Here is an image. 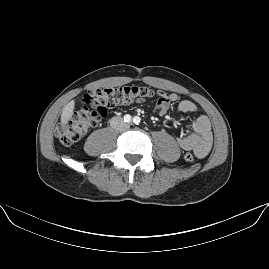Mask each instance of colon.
I'll list each match as a JSON object with an SVG mask.
<instances>
[{"label": "colon", "mask_w": 269, "mask_h": 269, "mask_svg": "<svg viewBox=\"0 0 269 269\" xmlns=\"http://www.w3.org/2000/svg\"><path fill=\"white\" fill-rule=\"evenodd\" d=\"M155 91L147 86L121 85L113 88H86L84 108L61 121L55 135L61 144L70 146L78 142L88 131L99 125L108 109L131 103L134 99L152 98ZM184 159L194 162L196 156L186 152Z\"/></svg>", "instance_id": "colon-1"}]
</instances>
